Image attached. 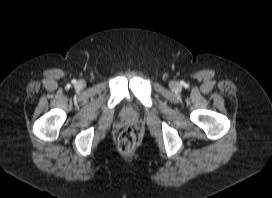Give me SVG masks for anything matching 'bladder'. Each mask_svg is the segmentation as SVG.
Wrapping results in <instances>:
<instances>
[{"label": "bladder", "mask_w": 272, "mask_h": 198, "mask_svg": "<svg viewBox=\"0 0 272 198\" xmlns=\"http://www.w3.org/2000/svg\"><path fill=\"white\" fill-rule=\"evenodd\" d=\"M138 113L133 108H127L124 112V116L127 118L137 117Z\"/></svg>", "instance_id": "bladder-1"}]
</instances>
